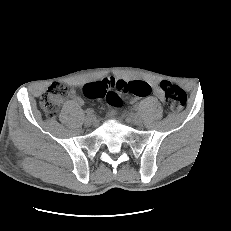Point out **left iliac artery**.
I'll return each mask as SVG.
<instances>
[{
    "label": "left iliac artery",
    "instance_id": "obj_1",
    "mask_svg": "<svg viewBox=\"0 0 231 231\" xmlns=\"http://www.w3.org/2000/svg\"><path fill=\"white\" fill-rule=\"evenodd\" d=\"M132 111L133 112H138L139 111V106L138 105H133L132 106Z\"/></svg>",
    "mask_w": 231,
    "mask_h": 231
}]
</instances>
